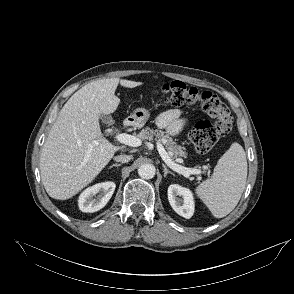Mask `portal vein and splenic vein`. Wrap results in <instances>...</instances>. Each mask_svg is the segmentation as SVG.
<instances>
[{"mask_svg": "<svg viewBox=\"0 0 294 294\" xmlns=\"http://www.w3.org/2000/svg\"><path fill=\"white\" fill-rule=\"evenodd\" d=\"M115 139L118 142L131 146V147H138L142 144L141 139L126 133L116 134ZM157 149L161 158L164 160V162L175 172L182 174L186 178H188L191 174H200L201 171L199 169L186 168L184 166L177 164L175 161H173L170 158L172 153H168L160 143H157ZM178 162H180V159L178 160Z\"/></svg>", "mask_w": 294, "mask_h": 294, "instance_id": "portal-vein-and-splenic-vein-1", "label": "portal vein and splenic vein"}]
</instances>
